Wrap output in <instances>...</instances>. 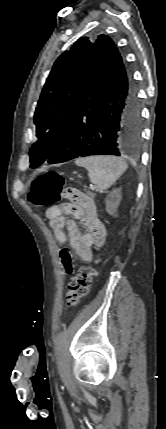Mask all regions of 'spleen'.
<instances>
[{
	"instance_id": "1",
	"label": "spleen",
	"mask_w": 166,
	"mask_h": 429,
	"mask_svg": "<svg viewBox=\"0 0 166 429\" xmlns=\"http://www.w3.org/2000/svg\"><path fill=\"white\" fill-rule=\"evenodd\" d=\"M75 164L85 168L90 181L103 190L110 188L128 167L123 159L109 155L78 158Z\"/></svg>"
}]
</instances>
